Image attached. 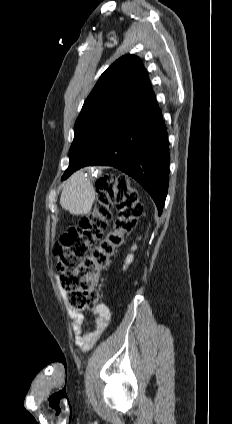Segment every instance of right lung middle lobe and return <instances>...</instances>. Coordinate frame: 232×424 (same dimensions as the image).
Segmentation results:
<instances>
[{"mask_svg":"<svg viewBox=\"0 0 232 424\" xmlns=\"http://www.w3.org/2000/svg\"><path fill=\"white\" fill-rule=\"evenodd\" d=\"M132 106L110 104L82 111L74 126V140L70 147V164L62 180L79 169L93 150L116 128L130 120Z\"/></svg>","mask_w":232,"mask_h":424,"instance_id":"1","label":"right lung middle lobe"}]
</instances>
